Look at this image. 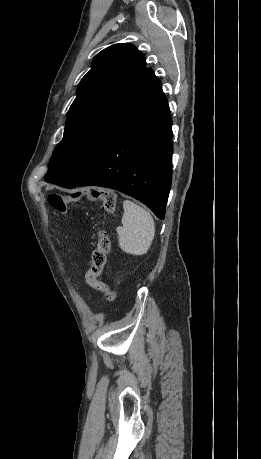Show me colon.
I'll use <instances>...</instances> for the list:
<instances>
[{
    "instance_id": "colon-1",
    "label": "colon",
    "mask_w": 261,
    "mask_h": 459,
    "mask_svg": "<svg viewBox=\"0 0 261 459\" xmlns=\"http://www.w3.org/2000/svg\"><path fill=\"white\" fill-rule=\"evenodd\" d=\"M80 197H89L92 200H100L103 209L107 213H113L116 207V195L111 191L99 190V188H72L71 195H62L53 193L49 195L48 202L50 206L61 215H66L70 203L77 201ZM111 242L105 231H100L95 249L92 252L91 266L86 274L87 284L103 293L106 300L113 302L116 300V293L100 276L107 263V256L110 251Z\"/></svg>"
}]
</instances>
